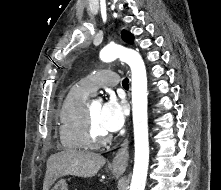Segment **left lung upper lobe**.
Segmentation results:
<instances>
[{"instance_id":"1","label":"left lung upper lobe","mask_w":221,"mask_h":190,"mask_svg":"<svg viewBox=\"0 0 221 190\" xmlns=\"http://www.w3.org/2000/svg\"><path fill=\"white\" fill-rule=\"evenodd\" d=\"M122 38L127 43H133V35L131 33H128L127 31H122Z\"/></svg>"}]
</instances>
